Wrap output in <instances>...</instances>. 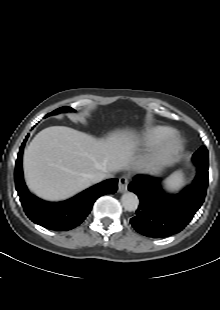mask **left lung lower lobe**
Instances as JSON below:
<instances>
[{"mask_svg":"<svg viewBox=\"0 0 220 310\" xmlns=\"http://www.w3.org/2000/svg\"><path fill=\"white\" fill-rule=\"evenodd\" d=\"M161 179L137 175L128 189L138 195L140 205L130 223L147 237H167L180 232L204 202L208 186V168L197 167L193 183L176 194L166 193Z\"/></svg>","mask_w":220,"mask_h":310,"instance_id":"left-lung-lower-lobe-1","label":"left lung lower lobe"}]
</instances>
